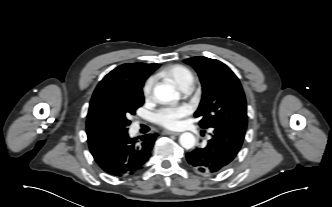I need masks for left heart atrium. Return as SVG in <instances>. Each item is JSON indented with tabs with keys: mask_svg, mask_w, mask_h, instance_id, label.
I'll return each instance as SVG.
<instances>
[{
	"mask_svg": "<svg viewBox=\"0 0 332 207\" xmlns=\"http://www.w3.org/2000/svg\"><path fill=\"white\" fill-rule=\"evenodd\" d=\"M189 113L190 109L187 106L164 107L154 114V120L165 128L175 129Z\"/></svg>",
	"mask_w": 332,
	"mask_h": 207,
	"instance_id": "39dd6f15",
	"label": "left heart atrium"
}]
</instances>
